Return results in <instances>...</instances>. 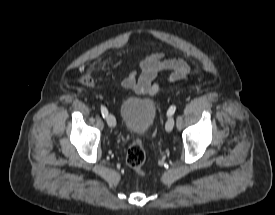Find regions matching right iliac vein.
Instances as JSON below:
<instances>
[{
    "label": "right iliac vein",
    "instance_id": "right-iliac-vein-1",
    "mask_svg": "<svg viewBox=\"0 0 275 215\" xmlns=\"http://www.w3.org/2000/svg\"><path fill=\"white\" fill-rule=\"evenodd\" d=\"M107 124L114 128L116 126V119L112 114H108L106 117Z\"/></svg>",
    "mask_w": 275,
    "mask_h": 215
}]
</instances>
